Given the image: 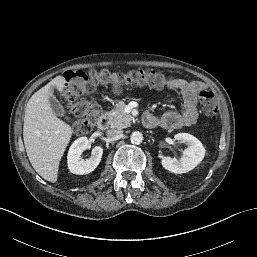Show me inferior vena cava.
<instances>
[{
    "label": "inferior vena cava",
    "mask_w": 257,
    "mask_h": 257,
    "mask_svg": "<svg viewBox=\"0 0 257 257\" xmlns=\"http://www.w3.org/2000/svg\"><path fill=\"white\" fill-rule=\"evenodd\" d=\"M123 131L121 129H111L107 131V136L110 138L117 139L121 137Z\"/></svg>",
    "instance_id": "1"
}]
</instances>
